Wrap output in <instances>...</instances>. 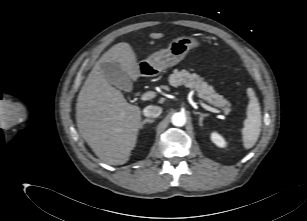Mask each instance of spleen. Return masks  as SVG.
<instances>
[{"mask_svg":"<svg viewBox=\"0 0 307 221\" xmlns=\"http://www.w3.org/2000/svg\"><path fill=\"white\" fill-rule=\"evenodd\" d=\"M247 95L249 103L242 128V142L245 149H250L256 144L261 132V108L252 88L247 89Z\"/></svg>","mask_w":307,"mask_h":221,"instance_id":"obj_1","label":"spleen"}]
</instances>
